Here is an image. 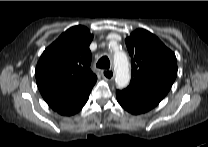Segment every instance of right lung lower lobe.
<instances>
[{"instance_id":"1","label":"right lung lower lobe","mask_w":208,"mask_h":147,"mask_svg":"<svg viewBox=\"0 0 208 147\" xmlns=\"http://www.w3.org/2000/svg\"><path fill=\"white\" fill-rule=\"evenodd\" d=\"M88 98H89V96H87L84 100H82L81 102H79L78 104H76L72 107L58 111V113H60L61 115H66V116L73 115L82 109V107L87 102Z\"/></svg>"}]
</instances>
